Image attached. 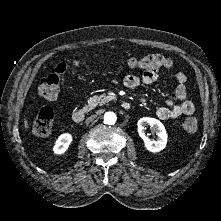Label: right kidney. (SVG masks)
Returning a JSON list of instances; mask_svg holds the SVG:
<instances>
[{
	"mask_svg": "<svg viewBox=\"0 0 221 221\" xmlns=\"http://www.w3.org/2000/svg\"><path fill=\"white\" fill-rule=\"evenodd\" d=\"M72 140L73 139L71 134L69 133L61 134L56 140L55 145L53 147L54 154L56 155L64 154L68 150Z\"/></svg>",
	"mask_w": 221,
	"mask_h": 221,
	"instance_id": "obj_1",
	"label": "right kidney"
}]
</instances>
